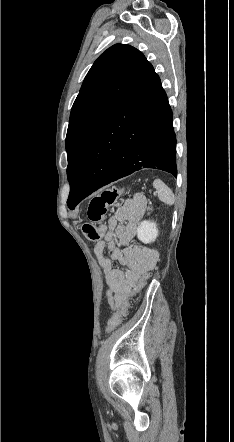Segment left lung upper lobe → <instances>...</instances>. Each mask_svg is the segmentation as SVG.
I'll return each instance as SVG.
<instances>
[{
	"label": "left lung upper lobe",
	"instance_id": "5c2ea615",
	"mask_svg": "<svg viewBox=\"0 0 234 442\" xmlns=\"http://www.w3.org/2000/svg\"><path fill=\"white\" fill-rule=\"evenodd\" d=\"M147 65L139 50L116 44L99 56L86 75L71 110L66 136L69 196L92 140Z\"/></svg>",
	"mask_w": 234,
	"mask_h": 442
}]
</instances>
